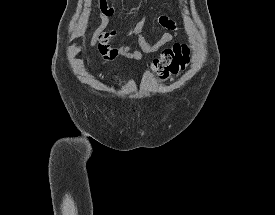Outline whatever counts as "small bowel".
<instances>
[{
    "instance_id": "c3829d8e",
    "label": "small bowel",
    "mask_w": 275,
    "mask_h": 215,
    "mask_svg": "<svg viewBox=\"0 0 275 215\" xmlns=\"http://www.w3.org/2000/svg\"><path fill=\"white\" fill-rule=\"evenodd\" d=\"M98 13L101 23L91 37L90 46L96 48L106 61H112L118 55L130 60H141L143 53H155L162 46L172 43L177 37V25L167 17L161 16L158 18V23L161 26L172 30V32L164 33L156 43L150 44L141 34L144 25V17H142L133 22L126 32L127 36H133L136 38L139 49L127 45L118 48L112 47L117 32L115 30L105 32L104 29L107 26L108 19L114 14V8L109 6L107 1L104 2L103 0H100Z\"/></svg>"
}]
</instances>
